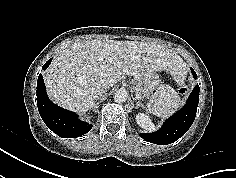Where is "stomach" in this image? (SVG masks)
<instances>
[{
    "mask_svg": "<svg viewBox=\"0 0 236 178\" xmlns=\"http://www.w3.org/2000/svg\"><path fill=\"white\" fill-rule=\"evenodd\" d=\"M159 82V76L155 73L136 78L133 83V92L138 99L147 98L157 88Z\"/></svg>",
    "mask_w": 236,
    "mask_h": 178,
    "instance_id": "stomach-1",
    "label": "stomach"
}]
</instances>
